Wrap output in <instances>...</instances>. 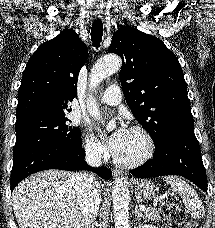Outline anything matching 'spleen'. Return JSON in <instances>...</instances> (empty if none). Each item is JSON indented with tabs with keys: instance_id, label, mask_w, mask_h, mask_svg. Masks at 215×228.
Wrapping results in <instances>:
<instances>
[{
	"instance_id": "1",
	"label": "spleen",
	"mask_w": 215,
	"mask_h": 228,
	"mask_svg": "<svg viewBox=\"0 0 215 228\" xmlns=\"http://www.w3.org/2000/svg\"><path fill=\"white\" fill-rule=\"evenodd\" d=\"M160 178L166 184H169L174 192L179 194L183 204H185L188 212H190L191 218H203L205 216L203 202H201L197 192L187 182L181 180L179 176H160Z\"/></svg>"
}]
</instances>
